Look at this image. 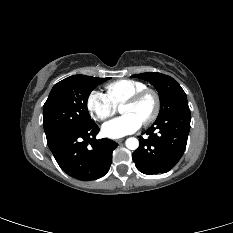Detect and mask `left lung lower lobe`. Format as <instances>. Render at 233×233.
Returning a JSON list of instances; mask_svg holds the SVG:
<instances>
[{
	"label": "left lung lower lobe",
	"mask_w": 233,
	"mask_h": 233,
	"mask_svg": "<svg viewBox=\"0 0 233 233\" xmlns=\"http://www.w3.org/2000/svg\"><path fill=\"white\" fill-rule=\"evenodd\" d=\"M190 121L188 105L157 118L146 131L148 137H140V146L132 153L137 169L147 175L171 170L185 151Z\"/></svg>",
	"instance_id": "0a47b994"
}]
</instances>
